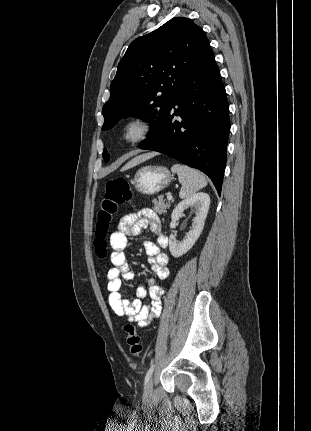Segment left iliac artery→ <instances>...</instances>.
Returning <instances> with one entry per match:
<instances>
[{
    "mask_svg": "<svg viewBox=\"0 0 311 431\" xmlns=\"http://www.w3.org/2000/svg\"><path fill=\"white\" fill-rule=\"evenodd\" d=\"M153 370H154V365H151V367L149 368V370L147 371L146 376H145V385L149 382L150 377L153 373Z\"/></svg>",
    "mask_w": 311,
    "mask_h": 431,
    "instance_id": "left-iliac-artery-1",
    "label": "left iliac artery"
}]
</instances>
